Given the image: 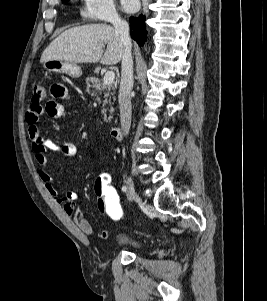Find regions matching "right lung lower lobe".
Wrapping results in <instances>:
<instances>
[{"mask_svg":"<svg viewBox=\"0 0 267 301\" xmlns=\"http://www.w3.org/2000/svg\"><path fill=\"white\" fill-rule=\"evenodd\" d=\"M145 16L139 15L138 17H130V28L131 37L139 44V46H142L147 38V31L145 29Z\"/></svg>","mask_w":267,"mask_h":301,"instance_id":"1","label":"right lung lower lobe"}]
</instances>
